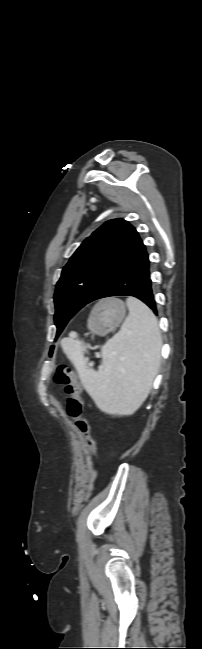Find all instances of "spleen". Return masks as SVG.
Segmentation results:
<instances>
[{
	"label": "spleen",
	"mask_w": 202,
	"mask_h": 649,
	"mask_svg": "<svg viewBox=\"0 0 202 649\" xmlns=\"http://www.w3.org/2000/svg\"><path fill=\"white\" fill-rule=\"evenodd\" d=\"M129 314L120 331L102 347L98 371L84 357L90 348L75 333L61 341L81 384L99 409L115 415L134 413L146 400L157 374L162 345L158 321L147 305L130 297Z\"/></svg>",
	"instance_id": "spleen-1"
}]
</instances>
